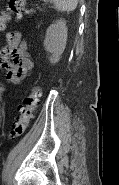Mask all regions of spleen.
<instances>
[{
  "mask_svg": "<svg viewBox=\"0 0 119 185\" xmlns=\"http://www.w3.org/2000/svg\"><path fill=\"white\" fill-rule=\"evenodd\" d=\"M46 1V0H44ZM54 3L58 11H74L77 7L78 0H50Z\"/></svg>",
  "mask_w": 119,
  "mask_h": 185,
  "instance_id": "spleen-1",
  "label": "spleen"
}]
</instances>
